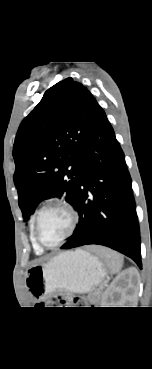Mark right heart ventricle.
Masks as SVG:
<instances>
[{"instance_id": "1", "label": "right heart ventricle", "mask_w": 152, "mask_h": 369, "mask_svg": "<svg viewBox=\"0 0 152 369\" xmlns=\"http://www.w3.org/2000/svg\"><path fill=\"white\" fill-rule=\"evenodd\" d=\"M30 238H31V242L32 245L35 249L36 252L41 253L43 251V249L36 243L34 236H33V225L31 226V230H30Z\"/></svg>"}]
</instances>
